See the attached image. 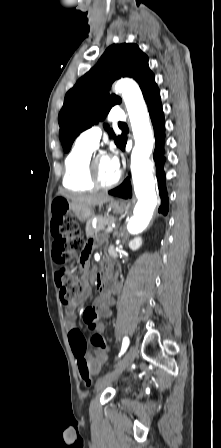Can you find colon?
Returning a JSON list of instances; mask_svg holds the SVG:
<instances>
[{
  "label": "colon",
  "mask_w": 221,
  "mask_h": 448,
  "mask_svg": "<svg viewBox=\"0 0 221 448\" xmlns=\"http://www.w3.org/2000/svg\"><path fill=\"white\" fill-rule=\"evenodd\" d=\"M52 224L58 226L56 230V251L53 254L54 260L59 264L56 282L60 289L62 303L65 306H70L76 301L77 296L82 293L83 286L74 276L72 269L68 266V261L70 258L80 255L81 261L84 262L87 259L88 250L79 230L77 220L69 213L68 204L65 201L60 200L56 202ZM83 320L93 332L90 337V343L96 348L105 347L106 344L103 337L95 332L98 316L92 307L85 309ZM69 340L77 359L80 378L87 386H90L93 378L92 371L85 359L86 340L81 336V332L77 328L71 330Z\"/></svg>",
  "instance_id": "colon-1"
}]
</instances>
